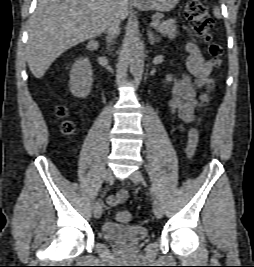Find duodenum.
Returning <instances> with one entry per match:
<instances>
[{
  "label": "duodenum",
  "instance_id": "obj_1",
  "mask_svg": "<svg viewBox=\"0 0 254 267\" xmlns=\"http://www.w3.org/2000/svg\"><path fill=\"white\" fill-rule=\"evenodd\" d=\"M97 47H98V43H97V42H91V43L88 45V48H89L90 50H95V49H97Z\"/></svg>",
  "mask_w": 254,
  "mask_h": 267
}]
</instances>
